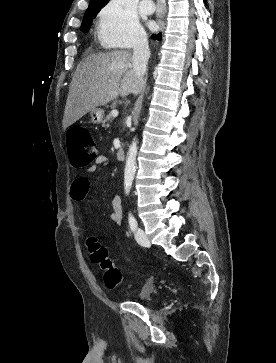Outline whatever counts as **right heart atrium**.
Segmentation results:
<instances>
[{
    "label": "right heart atrium",
    "instance_id": "right-heart-atrium-1",
    "mask_svg": "<svg viewBox=\"0 0 276 363\" xmlns=\"http://www.w3.org/2000/svg\"><path fill=\"white\" fill-rule=\"evenodd\" d=\"M98 37L103 44L133 47L144 42L145 32L134 9L126 0H110L100 11Z\"/></svg>",
    "mask_w": 276,
    "mask_h": 363
}]
</instances>
